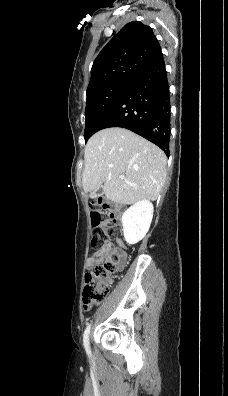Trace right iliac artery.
<instances>
[{"label": "right iliac artery", "instance_id": "right-iliac-artery-1", "mask_svg": "<svg viewBox=\"0 0 228 396\" xmlns=\"http://www.w3.org/2000/svg\"><path fill=\"white\" fill-rule=\"evenodd\" d=\"M89 333H90V325L87 326L84 335H83V342H84V347L87 352V354L90 356V347H89Z\"/></svg>", "mask_w": 228, "mask_h": 396}]
</instances>
